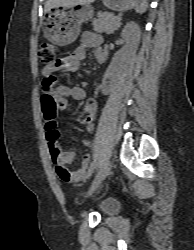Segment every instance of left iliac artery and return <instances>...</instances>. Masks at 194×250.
Instances as JSON below:
<instances>
[{
    "mask_svg": "<svg viewBox=\"0 0 194 250\" xmlns=\"http://www.w3.org/2000/svg\"><path fill=\"white\" fill-rule=\"evenodd\" d=\"M94 168H95V167H94V165L92 164V165H91V167H90V170H89V175H91V174H92V172H93Z\"/></svg>",
    "mask_w": 194,
    "mask_h": 250,
    "instance_id": "left-iliac-artery-1",
    "label": "left iliac artery"
}]
</instances>
